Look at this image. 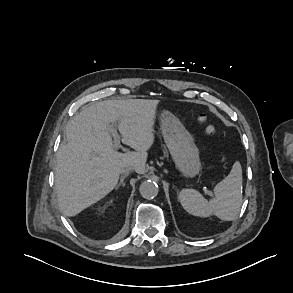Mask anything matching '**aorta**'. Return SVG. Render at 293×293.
Segmentation results:
<instances>
[{"label":"aorta","instance_id":"aorta-1","mask_svg":"<svg viewBox=\"0 0 293 293\" xmlns=\"http://www.w3.org/2000/svg\"><path fill=\"white\" fill-rule=\"evenodd\" d=\"M140 194L146 199H153L158 194V185L152 180L143 181L139 187Z\"/></svg>","mask_w":293,"mask_h":293}]
</instances>
